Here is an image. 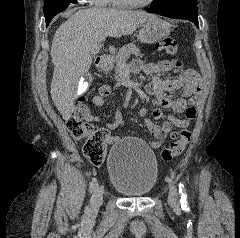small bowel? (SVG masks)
Listing matches in <instances>:
<instances>
[{"mask_svg": "<svg viewBox=\"0 0 240 238\" xmlns=\"http://www.w3.org/2000/svg\"><path fill=\"white\" fill-rule=\"evenodd\" d=\"M142 69H144L146 74L153 77V91L155 92L158 104L162 108L170 109L177 113H183V118L168 115L167 119L161 125H157L147 118V108H140L139 115L144 118L145 125L155 137V139L150 142V145L152 148L158 149L168 137L177 135V133L173 131L174 126L185 128L195 118L198 95L201 92V80L199 74L195 70H187L181 75L170 76L168 74L170 71L174 74L177 72L173 61H161L156 64L147 65L144 68L139 60L132 63V70L134 72H139ZM179 88H183L182 97L174 100L166 96V92L174 91ZM110 93L111 87L109 85L101 86L97 94L93 97V104L97 107L103 106L105 99ZM153 117L155 119L162 118V110L160 108L154 109ZM86 120L90 123H97L100 121V118L97 115L89 114ZM123 124L124 119L117 110L113 120L107 124V129L105 130L108 144L116 143L119 140L120 137L113 134L112 131Z\"/></svg>", "mask_w": 240, "mask_h": 238, "instance_id": "c3829d8e", "label": "small bowel"}]
</instances>
